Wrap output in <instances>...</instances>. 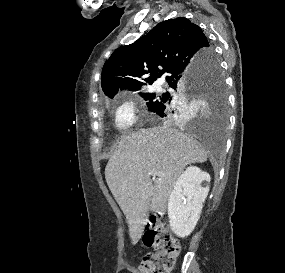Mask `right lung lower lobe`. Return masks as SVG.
<instances>
[{
	"label": "right lung lower lobe",
	"instance_id": "98d812e1",
	"mask_svg": "<svg viewBox=\"0 0 285 273\" xmlns=\"http://www.w3.org/2000/svg\"><path fill=\"white\" fill-rule=\"evenodd\" d=\"M208 64L207 56L201 58L200 61L189 71L178 75L174 80L169 82L171 88L180 89L181 91L186 90L194 85V79L203 73ZM161 117L171 120L169 115L166 113V105L160 104L154 111ZM177 119V118H176Z\"/></svg>",
	"mask_w": 285,
	"mask_h": 273
}]
</instances>
